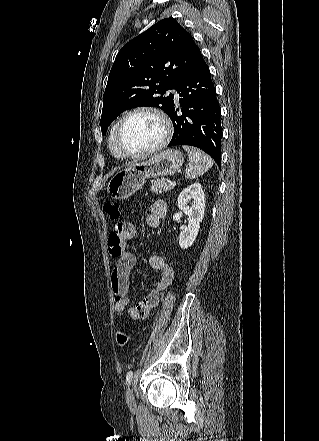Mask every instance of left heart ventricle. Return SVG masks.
I'll use <instances>...</instances> for the list:
<instances>
[{"label": "left heart ventricle", "instance_id": "left-heart-ventricle-1", "mask_svg": "<svg viewBox=\"0 0 319 441\" xmlns=\"http://www.w3.org/2000/svg\"><path fill=\"white\" fill-rule=\"evenodd\" d=\"M162 134V125L156 117L148 113H139L124 122L120 131V142L129 152H141L155 146Z\"/></svg>", "mask_w": 319, "mask_h": 441}]
</instances>
